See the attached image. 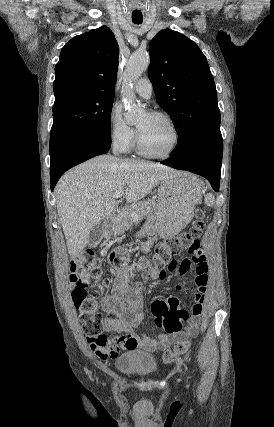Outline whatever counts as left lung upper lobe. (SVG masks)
I'll return each mask as SVG.
<instances>
[{
    "instance_id": "1",
    "label": "left lung upper lobe",
    "mask_w": 274,
    "mask_h": 427,
    "mask_svg": "<svg viewBox=\"0 0 274 427\" xmlns=\"http://www.w3.org/2000/svg\"><path fill=\"white\" fill-rule=\"evenodd\" d=\"M151 79L159 105L171 116L180 153L204 137L221 135L217 91L206 57L179 32H158L149 47Z\"/></svg>"
}]
</instances>
